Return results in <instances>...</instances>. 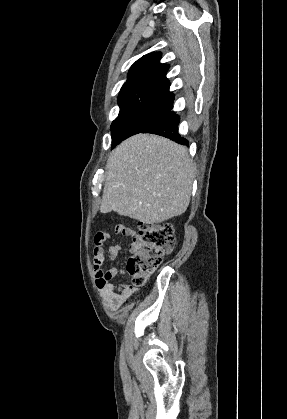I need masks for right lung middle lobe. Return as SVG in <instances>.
Segmentation results:
<instances>
[{
	"mask_svg": "<svg viewBox=\"0 0 287 419\" xmlns=\"http://www.w3.org/2000/svg\"><path fill=\"white\" fill-rule=\"evenodd\" d=\"M172 107H134L120 111L111 124L112 148L122 140L140 133L147 125L166 114Z\"/></svg>",
	"mask_w": 287,
	"mask_h": 419,
	"instance_id": "obj_1",
	"label": "right lung middle lobe"
}]
</instances>
